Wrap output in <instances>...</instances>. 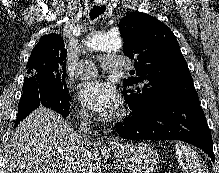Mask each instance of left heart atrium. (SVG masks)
I'll return each instance as SVG.
<instances>
[{
  "label": "left heart atrium",
  "instance_id": "1",
  "mask_svg": "<svg viewBox=\"0 0 219 173\" xmlns=\"http://www.w3.org/2000/svg\"><path fill=\"white\" fill-rule=\"evenodd\" d=\"M79 98L90 110L103 116H112L120 105V95L116 87L109 82L92 80L79 87Z\"/></svg>",
  "mask_w": 219,
  "mask_h": 173
}]
</instances>
